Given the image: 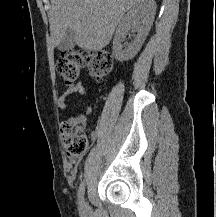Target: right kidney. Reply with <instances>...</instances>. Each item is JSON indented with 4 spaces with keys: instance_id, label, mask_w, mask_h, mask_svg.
I'll return each instance as SVG.
<instances>
[{
    "instance_id": "right-kidney-1",
    "label": "right kidney",
    "mask_w": 216,
    "mask_h": 217,
    "mask_svg": "<svg viewBox=\"0 0 216 217\" xmlns=\"http://www.w3.org/2000/svg\"><path fill=\"white\" fill-rule=\"evenodd\" d=\"M155 12L154 0H141L122 18L113 39V55L116 60L127 61L138 53L151 29ZM130 31L137 32V35L134 41L123 49L122 42Z\"/></svg>"
}]
</instances>
